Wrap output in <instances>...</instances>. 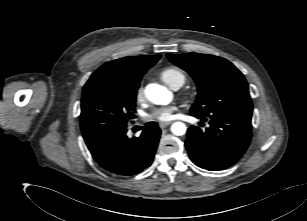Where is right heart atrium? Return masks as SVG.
<instances>
[{"mask_svg":"<svg viewBox=\"0 0 307 221\" xmlns=\"http://www.w3.org/2000/svg\"><path fill=\"white\" fill-rule=\"evenodd\" d=\"M135 99L138 103H142L145 99V91L142 83L138 84L135 90Z\"/></svg>","mask_w":307,"mask_h":221,"instance_id":"obj_1","label":"right heart atrium"}]
</instances>
